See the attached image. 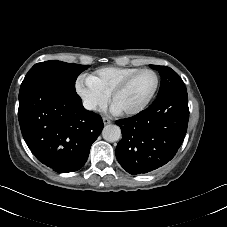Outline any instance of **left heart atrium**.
<instances>
[{"label": "left heart atrium", "instance_id": "left-heart-atrium-1", "mask_svg": "<svg viewBox=\"0 0 227 227\" xmlns=\"http://www.w3.org/2000/svg\"><path fill=\"white\" fill-rule=\"evenodd\" d=\"M111 110L114 112V113H120L122 110L115 104L113 103L112 107H111Z\"/></svg>", "mask_w": 227, "mask_h": 227}]
</instances>
